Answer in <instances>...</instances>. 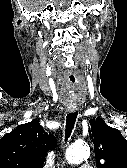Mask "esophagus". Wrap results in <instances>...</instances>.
<instances>
[{
  "instance_id": "esophagus-1",
  "label": "esophagus",
  "mask_w": 127,
  "mask_h": 168,
  "mask_svg": "<svg viewBox=\"0 0 127 168\" xmlns=\"http://www.w3.org/2000/svg\"><path fill=\"white\" fill-rule=\"evenodd\" d=\"M69 112H73V111H75V107H68V109H67Z\"/></svg>"
}]
</instances>
